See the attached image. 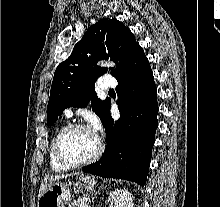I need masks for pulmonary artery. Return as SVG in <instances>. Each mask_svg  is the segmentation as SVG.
Segmentation results:
<instances>
[{"label": "pulmonary artery", "instance_id": "obj_1", "mask_svg": "<svg viewBox=\"0 0 220 207\" xmlns=\"http://www.w3.org/2000/svg\"><path fill=\"white\" fill-rule=\"evenodd\" d=\"M117 85L116 80L111 77V76H103L100 80H99V84L98 87L100 90H109V89H113L115 88ZM65 115L67 117H71L73 112L71 108H68L65 110Z\"/></svg>", "mask_w": 220, "mask_h": 207}]
</instances>
